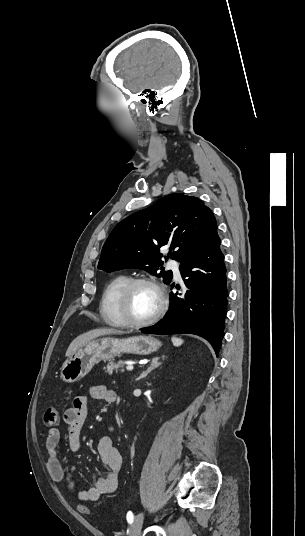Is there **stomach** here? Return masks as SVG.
Segmentation results:
<instances>
[{
	"label": "stomach",
	"mask_w": 305,
	"mask_h": 536,
	"mask_svg": "<svg viewBox=\"0 0 305 536\" xmlns=\"http://www.w3.org/2000/svg\"><path fill=\"white\" fill-rule=\"evenodd\" d=\"M161 342L151 338V336H134V338H99L90 340L86 346L79 348L75 354L65 360L60 368V376L64 382L72 384L89 374L94 364L99 360H111L121 354H140L147 356L152 352H157Z\"/></svg>",
	"instance_id": "obj_1"
}]
</instances>
